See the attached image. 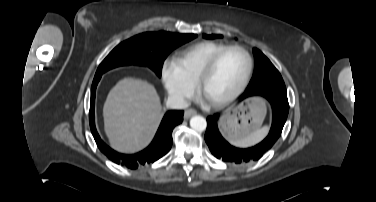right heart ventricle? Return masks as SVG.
I'll return each instance as SVG.
<instances>
[{"mask_svg": "<svg viewBox=\"0 0 376 202\" xmlns=\"http://www.w3.org/2000/svg\"><path fill=\"white\" fill-rule=\"evenodd\" d=\"M226 45L215 41H202L176 53L174 60L185 78L196 84L205 64Z\"/></svg>", "mask_w": 376, "mask_h": 202, "instance_id": "e07e8e85", "label": "right heart ventricle"}]
</instances>
